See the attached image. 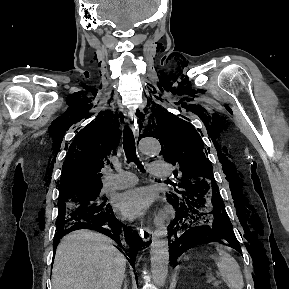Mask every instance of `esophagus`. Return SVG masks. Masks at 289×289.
Instances as JSON below:
<instances>
[{
	"mask_svg": "<svg viewBox=\"0 0 289 289\" xmlns=\"http://www.w3.org/2000/svg\"><path fill=\"white\" fill-rule=\"evenodd\" d=\"M132 120H133V118H132ZM132 130H133V133H134V135L136 137V140L138 141L139 137H140V133H139V128H138L136 119H134V123L132 122ZM140 232H141L142 238L145 241H150V239L154 235L152 229L150 227H148V226H143V228L140 229Z\"/></svg>",
	"mask_w": 289,
	"mask_h": 289,
	"instance_id": "1",
	"label": "esophagus"
}]
</instances>
